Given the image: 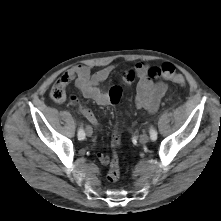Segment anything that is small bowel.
<instances>
[{
	"label": "small bowel",
	"instance_id": "c3829d8e",
	"mask_svg": "<svg viewBox=\"0 0 221 221\" xmlns=\"http://www.w3.org/2000/svg\"><path fill=\"white\" fill-rule=\"evenodd\" d=\"M114 71L113 65H108L92 73L90 68L85 65H76L72 69L65 72L60 78L65 87L73 80L82 95L93 100L100 106H109L115 104L110 96V90L106 91L100 87ZM122 80L131 84L137 80L135 105L137 108L145 109L150 113L157 111L159 103L168 91V86L164 82H154L148 76V65L144 62H138L134 68L126 70L122 73ZM83 116L94 126L99 127L95 114L87 107L80 106ZM98 161L107 166L110 163V157L104 153H97Z\"/></svg>",
	"mask_w": 221,
	"mask_h": 221
}]
</instances>
